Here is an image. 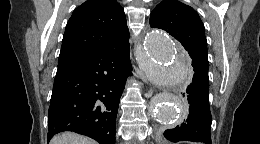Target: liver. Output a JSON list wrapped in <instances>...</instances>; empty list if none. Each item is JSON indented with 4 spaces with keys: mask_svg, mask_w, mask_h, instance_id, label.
<instances>
[{
    "mask_svg": "<svg viewBox=\"0 0 260 144\" xmlns=\"http://www.w3.org/2000/svg\"><path fill=\"white\" fill-rule=\"evenodd\" d=\"M50 144H96L95 141L72 132L56 135Z\"/></svg>",
    "mask_w": 260,
    "mask_h": 144,
    "instance_id": "1",
    "label": "liver"
}]
</instances>
